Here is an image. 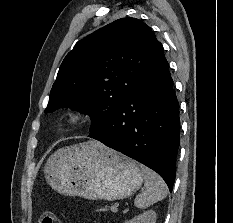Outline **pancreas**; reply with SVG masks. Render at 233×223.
Returning a JSON list of instances; mask_svg holds the SVG:
<instances>
[{"instance_id":"1","label":"pancreas","mask_w":233,"mask_h":223,"mask_svg":"<svg viewBox=\"0 0 233 223\" xmlns=\"http://www.w3.org/2000/svg\"><path fill=\"white\" fill-rule=\"evenodd\" d=\"M112 211H117V209H115V207H111Z\"/></svg>"}]
</instances>
